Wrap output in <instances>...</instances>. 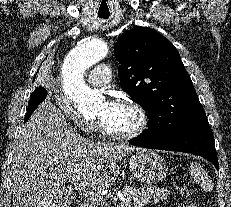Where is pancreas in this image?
Returning <instances> with one entry per match:
<instances>
[{
    "mask_svg": "<svg viewBox=\"0 0 231 207\" xmlns=\"http://www.w3.org/2000/svg\"><path fill=\"white\" fill-rule=\"evenodd\" d=\"M119 192L123 195L125 200L132 205V207H143L150 203H157L159 200H166L169 195V190L165 188L148 186L137 189L131 186H125L120 190L110 193L109 197L112 202L117 199ZM105 201L106 198L101 202L91 203L88 207H104Z\"/></svg>",
    "mask_w": 231,
    "mask_h": 207,
    "instance_id": "cf45deb5",
    "label": "pancreas"
}]
</instances>
